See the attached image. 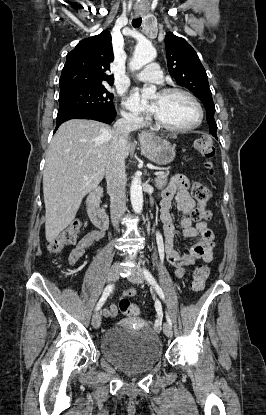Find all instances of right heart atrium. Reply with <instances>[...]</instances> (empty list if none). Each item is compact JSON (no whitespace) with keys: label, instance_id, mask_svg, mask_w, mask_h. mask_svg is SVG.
Here are the masks:
<instances>
[{"label":"right heart atrium","instance_id":"right-heart-atrium-1","mask_svg":"<svg viewBox=\"0 0 266 415\" xmlns=\"http://www.w3.org/2000/svg\"><path fill=\"white\" fill-rule=\"evenodd\" d=\"M122 116L126 120H128L129 122H132V123H139V122L142 121V117L139 116L137 113H134V112L123 111Z\"/></svg>","mask_w":266,"mask_h":415}]
</instances>
